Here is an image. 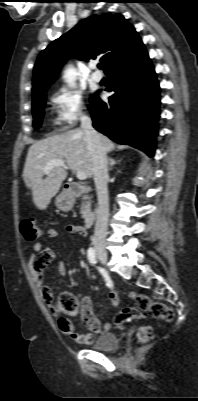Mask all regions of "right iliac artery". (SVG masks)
I'll list each match as a JSON object with an SVG mask.
<instances>
[{
	"mask_svg": "<svg viewBox=\"0 0 198 401\" xmlns=\"http://www.w3.org/2000/svg\"><path fill=\"white\" fill-rule=\"evenodd\" d=\"M87 256H88V260L90 261L91 264L95 265L97 263L95 251L93 248L88 249Z\"/></svg>",
	"mask_w": 198,
	"mask_h": 401,
	"instance_id": "right-iliac-artery-1",
	"label": "right iliac artery"
}]
</instances>
